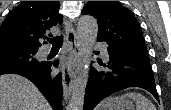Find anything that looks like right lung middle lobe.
<instances>
[{
  "mask_svg": "<svg viewBox=\"0 0 171 110\" xmlns=\"http://www.w3.org/2000/svg\"><path fill=\"white\" fill-rule=\"evenodd\" d=\"M37 52L36 49L23 47L0 48V72L12 68L41 66L43 62L34 57Z\"/></svg>",
  "mask_w": 171,
  "mask_h": 110,
  "instance_id": "right-lung-middle-lobe-1",
  "label": "right lung middle lobe"
}]
</instances>
